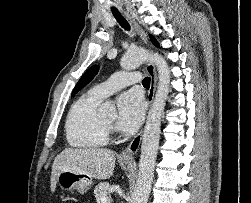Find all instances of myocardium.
<instances>
[{"label": "myocardium", "mask_w": 251, "mask_h": 203, "mask_svg": "<svg viewBox=\"0 0 251 203\" xmlns=\"http://www.w3.org/2000/svg\"><path fill=\"white\" fill-rule=\"evenodd\" d=\"M102 122L108 131L113 129V123H108L105 120H102Z\"/></svg>", "instance_id": "f54148a6"}]
</instances>
